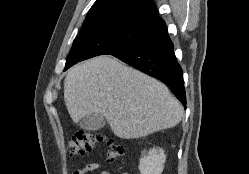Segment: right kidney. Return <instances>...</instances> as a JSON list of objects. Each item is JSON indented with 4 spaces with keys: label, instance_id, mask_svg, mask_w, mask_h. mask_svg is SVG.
<instances>
[{
    "label": "right kidney",
    "instance_id": "obj_1",
    "mask_svg": "<svg viewBox=\"0 0 249 174\" xmlns=\"http://www.w3.org/2000/svg\"><path fill=\"white\" fill-rule=\"evenodd\" d=\"M166 155L161 148H152L146 156L140 158V174H161L164 169Z\"/></svg>",
    "mask_w": 249,
    "mask_h": 174
}]
</instances>
